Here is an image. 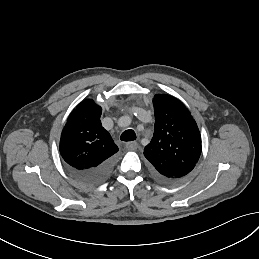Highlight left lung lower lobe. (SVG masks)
Returning a JSON list of instances; mask_svg holds the SVG:
<instances>
[{
	"label": "left lung lower lobe",
	"instance_id": "left-lung-lower-lobe-1",
	"mask_svg": "<svg viewBox=\"0 0 259 259\" xmlns=\"http://www.w3.org/2000/svg\"><path fill=\"white\" fill-rule=\"evenodd\" d=\"M157 176V178H159L160 180H162V181H164V182H169L170 180H168V179H165V178H163V177H161V176H159V175H156Z\"/></svg>",
	"mask_w": 259,
	"mask_h": 259
}]
</instances>
